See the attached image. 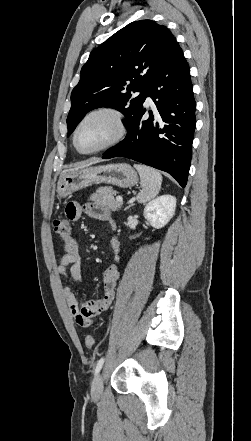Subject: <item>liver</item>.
Wrapping results in <instances>:
<instances>
[{"mask_svg":"<svg viewBox=\"0 0 251 441\" xmlns=\"http://www.w3.org/2000/svg\"><path fill=\"white\" fill-rule=\"evenodd\" d=\"M98 162H100L99 159H93V160L88 161V162H85V163H83V164H81V165H79V166H77V167H75V168H73V169L65 170L64 172L71 171V170H77V169H81V168H85V167H88V166H90V165H92V164H96V163H98Z\"/></svg>","mask_w":251,"mask_h":441,"instance_id":"1","label":"liver"}]
</instances>
